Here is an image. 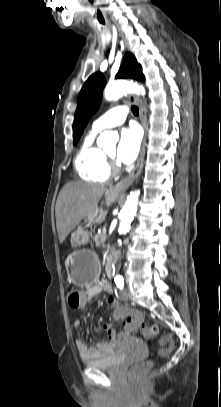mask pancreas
<instances>
[{
  "label": "pancreas",
  "mask_w": 221,
  "mask_h": 407,
  "mask_svg": "<svg viewBox=\"0 0 221 407\" xmlns=\"http://www.w3.org/2000/svg\"><path fill=\"white\" fill-rule=\"evenodd\" d=\"M106 239H107L106 230H103L102 233H98L94 238L96 246H103L104 247Z\"/></svg>",
  "instance_id": "1"
}]
</instances>
